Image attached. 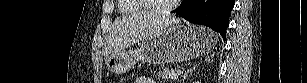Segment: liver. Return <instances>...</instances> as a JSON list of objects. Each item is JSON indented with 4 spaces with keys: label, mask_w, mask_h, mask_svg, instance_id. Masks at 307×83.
I'll return each instance as SVG.
<instances>
[{
    "label": "liver",
    "mask_w": 307,
    "mask_h": 83,
    "mask_svg": "<svg viewBox=\"0 0 307 83\" xmlns=\"http://www.w3.org/2000/svg\"><path fill=\"white\" fill-rule=\"evenodd\" d=\"M180 23L179 19L161 17L150 13H137L118 20L109 34L105 56L121 51L127 46L140 42L161 30Z\"/></svg>",
    "instance_id": "obj_1"
}]
</instances>
